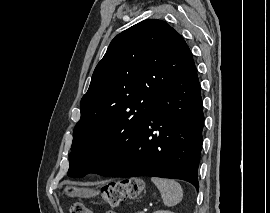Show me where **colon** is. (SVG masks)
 <instances>
[{
	"instance_id": "5ec220e1",
	"label": "colon",
	"mask_w": 270,
	"mask_h": 213,
	"mask_svg": "<svg viewBox=\"0 0 270 213\" xmlns=\"http://www.w3.org/2000/svg\"><path fill=\"white\" fill-rule=\"evenodd\" d=\"M143 190V182L137 178L124 179L117 182L108 183L103 187V199L111 206H117L127 198L138 196ZM70 213H92L83 203H74Z\"/></svg>"
}]
</instances>
